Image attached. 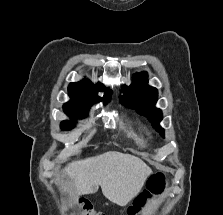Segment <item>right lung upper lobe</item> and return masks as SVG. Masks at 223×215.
<instances>
[{"mask_svg": "<svg viewBox=\"0 0 223 215\" xmlns=\"http://www.w3.org/2000/svg\"><path fill=\"white\" fill-rule=\"evenodd\" d=\"M103 89V84L97 83L95 86L87 79L76 83H70L68 92L71 99L64 104L63 108H90L95 102L101 100V98L96 95V91H102ZM110 97L111 95L108 93L104 98L105 102L109 100Z\"/></svg>", "mask_w": 223, "mask_h": 215, "instance_id": "1", "label": "right lung upper lobe"}]
</instances>
